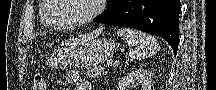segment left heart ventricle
I'll list each match as a JSON object with an SVG mask.
<instances>
[{
    "label": "left heart ventricle",
    "instance_id": "b2bd125f",
    "mask_svg": "<svg viewBox=\"0 0 216 90\" xmlns=\"http://www.w3.org/2000/svg\"><path fill=\"white\" fill-rule=\"evenodd\" d=\"M65 1L63 10H58L55 19H49L57 26H69L82 20L92 10L93 0H58Z\"/></svg>",
    "mask_w": 216,
    "mask_h": 90
}]
</instances>
